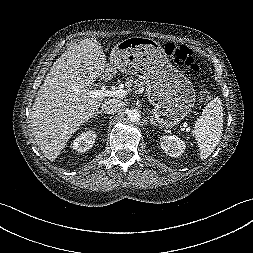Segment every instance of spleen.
<instances>
[{"label": "spleen", "instance_id": "spleen-1", "mask_svg": "<svg viewBox=\"0 0 253 253\" xmlns=\"http://www.w3.org/2000/svg\"><path fill=\"white\" fill-rule=\"evenodd\" d=\"M193 131L200 158L206 159L219 144L223 132V107L221 99L216 97L204 108Z\"/></svg>", "mask_w": 253, "mask_h": 253}]
</instances>
